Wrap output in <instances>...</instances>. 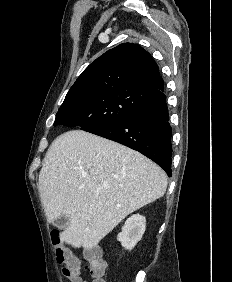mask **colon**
<instances>
[{"label":"colon","mask_w":232,"mask_h":282,"mask_svg":"<svg viewBox=\"0 0 232 282\" xmlns=\"http://www.w3.org/2000/svg\"><path fill=\"white\" fill-rule=\"evenodd\" d=\"M52 241L55 246V257L59 264L64 265L62 272L72 281L81 277V271L84 268L92 277V282H106L105 272L106 264L100 257L97 250L93 249L87 252L84 265L73 254L67 252L60 244L59 233L53 230L51 233Z\"/></svg>","instance_id":"colon-1"}]
</instances>
